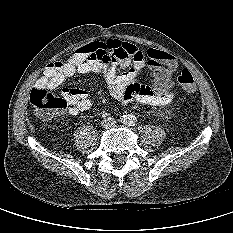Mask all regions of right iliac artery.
I'll list each match as a JSON object with an SVG mask.
<instances>
[{
	"label": "right iliac artery",
	"mask_w": 233,
	"mask_h": 233,
	"mask_svg": "<svg viewBox=\"0 0 233 233\" xmlns=\"http://www.w3.org/2000/svg\"><path fill=\"white\" fill-rule=\"evenodd\" d=\"M125 121H126V115H124V116H122V118H120V122L125 123Z\"/></svg>",
	"instance_id": "right-iliac-artery-1"
}]
</instances>
